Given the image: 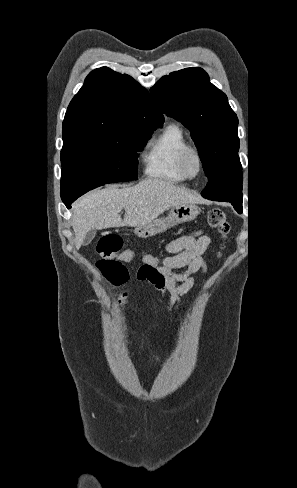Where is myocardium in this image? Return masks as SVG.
I'll return each mask as SVG.
<instances>
[{"label":"myocardium","instance_id":"1","mask_svg":"<svg viewBox=\"0 0 297 488\" xmlns=\"http://www.w3.org/2000/svg\"><path fill=\"white\" fill-rule=\"evenodd\" d=\"M192 156L196 157V159L198 161V169H197V172L194 174H192L190 172L189 167H188V161H189L190 157H192ZM179 168H180L182 174L187 179L197 178L203 171V157H202L200 151L193 146H189L186 149H184V151L182 152V154L180 155V158H179Z\"/></svg>","mask_w":297,"mask_h":488}]
</instances>
